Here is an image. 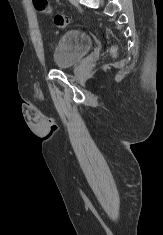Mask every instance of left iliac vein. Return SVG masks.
<instances>
[{
	"label": "left iliac vein",
	"mask_w": 163,
	"mask_h": 235,
	"mask_svg": "<svg viewBox=\"0 0 163 235\" xmlns=\"http://www.w3.org/2000/svg\"><path fill=\"white\" fill-rule=\"evenodd\" d=\"M72 4H77L78 0H69Z\"/></svg>",
	"instance_id": "obj_1"
}]
</instances>
